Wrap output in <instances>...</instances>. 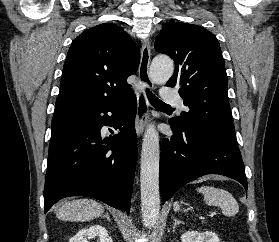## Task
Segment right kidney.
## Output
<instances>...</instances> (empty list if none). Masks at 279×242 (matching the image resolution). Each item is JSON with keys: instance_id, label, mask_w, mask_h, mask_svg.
<instances>
[{"instance_id": "obj_1", "label": "right kidney", "mask_w": 279, "mask_h": 242, "mask_svg": "<svg viewBox=\"0 0 279 242\" xmlns=\"http://www.w3.org/2000/svg\"><path fill=\"white\" fill-rule=\"evenodd\" d=\"M96 237L99 242H113L106 228L99 224L79 230L69 242H89L88 240L95 239Z\"/></svg>"}]
</instances>
